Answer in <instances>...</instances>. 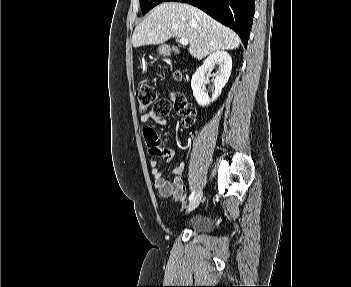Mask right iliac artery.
Returning a JSON list of instances; mask_svg holds the SVG:
<instances>
[{
  "mask_svg": "<svg viewBox=\"0 0 351 287\" xmlns=\"http://www.w3.org/2000/svg\"><path fill=\"white\" fill-rule=\"evenodd\" d=\"M194 195H195V191H193L190 196H189V201H191L193 198H194Z\"/></svg>",
  "mask_w": 351,
  "mask_h": 287,
  "instance_id": "obj_1",
  "label": "right iliac artery"
}]
</instances>
